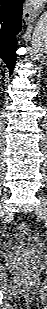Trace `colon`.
Wrapping results in <instances>:
<instances>
[{
	"label": "colon",
	"mask_w": 47,
	"mask_h": 309,
	"mask_svg": "<svg viewBox=\"0 0 47 309\" xmlns=\"http://www.w3.org/2000/svg\"><path fill=\"white\" fill-rule=\"evenodd\" d=\"M28 228V225L25 223L20 224V229L25 230Z\"/></svg>",
	"instance_id": "5ec220e1"
}]
</instances>
